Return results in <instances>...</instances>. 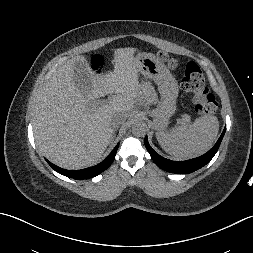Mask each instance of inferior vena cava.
Here are the masks:
<instances>
[{"label": "inferior vena cava", "mask_w": 253, "mask_h": 253, "mask_svg": "<svg viewBox=\"0 0 253 253\" xmlns=\"http://www.w3.org/2000/svg\"><path fill=\"white\" fill-rule=\"evenodd\" d=\"M127 117L128 116L124 113H114L111 116V125L113 127H119V126H121L122 123L125 122Z\"/></svg>", "instance_id": "inferior-vena-cava-1"}]
</instances>
